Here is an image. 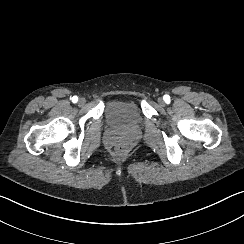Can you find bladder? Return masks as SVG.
<instances>
[{
    "mask_svg": "<svg viewBox=\"0 0 244 244\" xmlns=\"http://www.w3.org/2000/svg\"><path fill=\"white\" fill-rule=\"evenodd\" d=\"M103 115L110 126L131 129L143 124L144 115L140 107L132 100H112L103 106Z\"/></svg>",
    "mask_w": 244,
    "mask_h": 244,
    "instance_id": "obj_1",
    "label": "bladder"
}]
</instances>
